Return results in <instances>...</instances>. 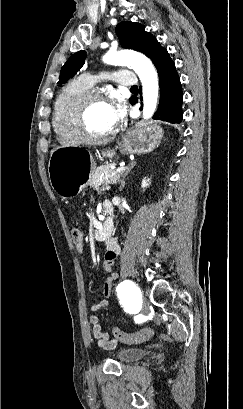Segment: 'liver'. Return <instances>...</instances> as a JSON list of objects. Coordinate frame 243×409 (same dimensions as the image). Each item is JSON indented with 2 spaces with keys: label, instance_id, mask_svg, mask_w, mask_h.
Listing matches in <instances>:
<instances>
[{
  "label": "liver",
  "instance_id": "1",
  "mask_svg": "<svg viewBox=\"0 0 243 409\" xmlns=\"http://www.w3.org/2000/svg\"><path fill=\"white\" fill-rule=\"evenodd\" d=\"M55 150V149H54ZM54 150L51 151V154L54 152Z\"/></svg>",
  "mask_w": 243,
  "mask_h": 409
}]
</instances>
